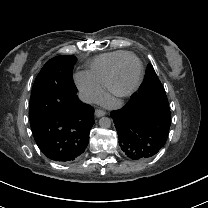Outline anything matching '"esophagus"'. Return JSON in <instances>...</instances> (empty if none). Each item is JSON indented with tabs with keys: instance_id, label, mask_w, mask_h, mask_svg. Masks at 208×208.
<instances>
[{
	"instance_id": "obj_1",
	"label": "esophagus",
	"mask_w": 208,
	"mask_h": 208,
	"mask_svg": "<svg viewBox=\"0 0 208 208\" xmlns=\"http://www.w3.org/2000/svg\"><path fill=\"white\" fill-rule=\"evenodd\" d=\"M105 114H106V112L103 111V110H100V109H96V110H95V116H96V117H102V116H104Z\"/></svg>"
}]
</instances>
